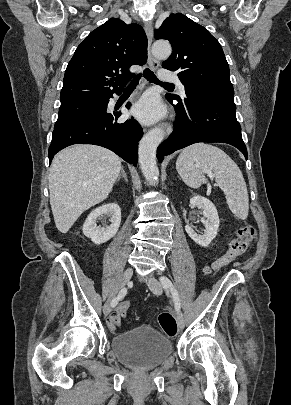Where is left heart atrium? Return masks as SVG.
<instances>
[{"mask_svg":"<svg viewBox=\"0 0 291 405\" xmlns=\"http://www.w3.org/2000/svg\"><path fill=\"white\" fill-rule=\"evenodd\" d=\"M133 113L145 123H153L165 114L159 98L151 93L144 95L134 106Z\"/></svg>","mask_w":291,"mask_h":405,"instance_id":"39dd6f15","label":"left heart atrium"}]
</instances>
